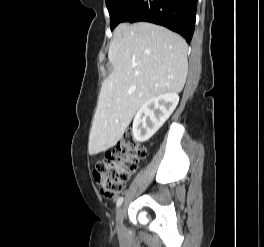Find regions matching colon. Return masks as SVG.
Here are the masks:
<instances>
[{"label": "colon", "mask_w": 264, "mask_h": 247, "mask_svg": "<svg viewBox=\"0 0 264 247\" xmlns=\"http://www.w3.org/2000/svg\"><path fill=\"white\" fill-rule=\"evenodd\" d=\"M145 154L144 147L131 133L124 134L116 149L107 153L94 167L93 176L100 185L101 195L107 199L117 197Z\"/></svg>", "instance_id": "5ec220e1"}]
</instances>
